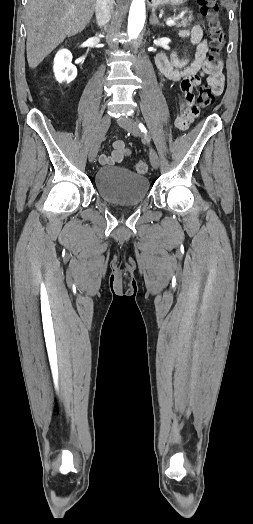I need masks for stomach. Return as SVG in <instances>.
<instances>
[{
    "mask_svg": "<svg viewBox=\"0 0 253 524\" xmlns=\"http://www.w3.org/2000/svg\"><path fill=\"white\" fill-rule=\"evenodd\" d=\"M187 0H152V7H157V6H161V5H172V6H176V5H180L184 2H186Z\"/></svg>",
    "mask_w": 253,
    "mask_h": 524,
    "instance_id": "obj_1",
    "label": "stomach"
}]
</instances>
